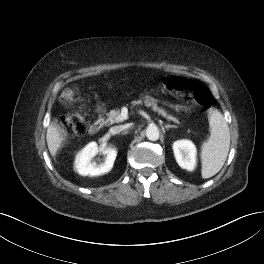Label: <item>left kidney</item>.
Returning a JSON list of instances; mask_svg holds the SVG:
<instances>
[{
    "instance_id": "obj_1",
    "label": "left kidney",
    "mask_w": 264,
    "mask_h": 264,
    "mask_svg": "<svg viewBox=\"0 0 264 264\" xmlns=\"http://www.w3.org/2000/svg\"><path fill=\"white\" fill-rule=\"evenodd\" d=\"M173 151L178 165L188 171H193L196 166L197 150L190 140H178L173 143Z\"/></svg>"
}]
</instances>
